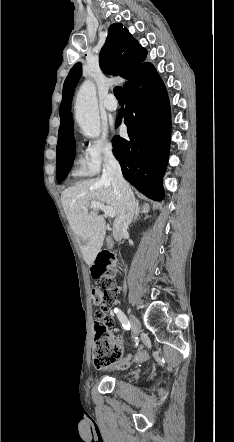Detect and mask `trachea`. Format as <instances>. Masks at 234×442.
<instances>
[{"label": "trachea", "mask_w": 234, "mask_h": 442, "mask_svg": "<svg viewBox=\"0 0 234 442\" xmlns=\"http://www.w3.org/2000/svg\"><path fill=\"white\" fill-rule=\"evenodd\" d=\"M114 95L118 100H123L122 87L117 86L114 88Z\"/></svg>", "instance_id": "1"}]
</instances>
